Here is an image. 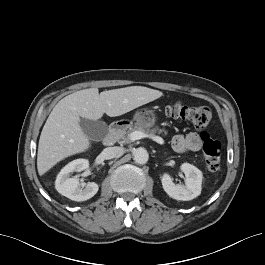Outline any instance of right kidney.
<instances>
[{"instance_id":"ca27d5eb","label":"right kidney","mask_w":265,"mask_h":265,"mask_svg":"<svg viewBox=\"0 0 265 265\" xmlns=\"http://www.w3.org/2000/svg\"><path fill=\"white\" fill-rule=\"evenodd\" d=\"M89 167V161L86 159H76L67 164L57 175L55 181L56 190L63 196L73 201H86L92 198L99 189V186L95 182L88 184H80L77 176L70 177L72 172H81ZM85 186V188H80Z\"/></svg>"}]
</instances>
